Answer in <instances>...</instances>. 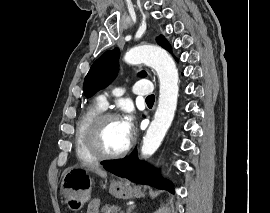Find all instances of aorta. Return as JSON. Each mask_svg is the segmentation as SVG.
I'll use <instances>...</instances> for the list:
<instances>
[{"label": "aorta", "mask_w": 270, "mask_h": 213, "mask_svg": "<svg viewBox=\"0 0 270 213\" xmlns=\"http://www.w3.org/2000/svg\"><path fill=\"white\" fill-rule=\"evenodd\" d=\"M128 64L146 63L158 75L160 95L154 119L143 138L141 152L151 156L160 146L174 118L179 92V75L172 57L155 46H138L130 49L124 56Z\"/></svg>", "instance_id": "762f6f07"}]
</instances>
